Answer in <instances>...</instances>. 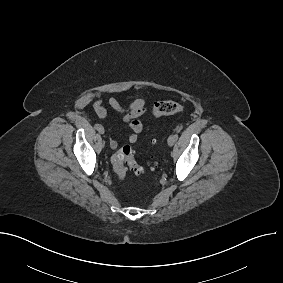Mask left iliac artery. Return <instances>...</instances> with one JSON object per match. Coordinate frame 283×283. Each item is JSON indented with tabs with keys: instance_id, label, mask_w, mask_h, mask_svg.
<instances>
[{
	"instance_id": "left-iliac-artery-1",
	"label": "left iliac artery",
	"mask_w": 283,
	"mask_h": 283,
	"mask_svg": "<svg viewBox=\"0 0 283 283\" xmlns=\"http://www.w3.org/2000/svg\"><path fill=\"white\" fill-rule=\"evenodd\" d=\"M175 138H176V140L178 139V134H175Z\"/></svg>"
}]
</instances>
